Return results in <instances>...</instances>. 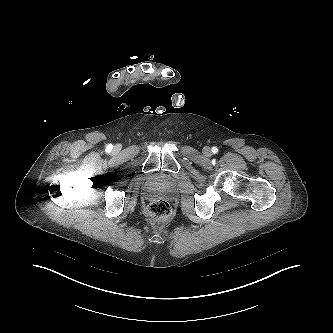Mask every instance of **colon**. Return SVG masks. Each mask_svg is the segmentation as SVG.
<instances>
[{
    "instance_id": "obj_1",
    "label": "colon",
    "mask_w": 333,
    "mask_h": 333,
    "mask_svg": "<svg viewBox=\"0 0 333 333\" xmlns=\"http://www.w3.org/2000/svg\"><path fill=\"white\" fill-rule=\"evenodd\" d=\"M148 212L154 220L165 221L170 217L172 210L167 201L158 199L149 204Z\"/></svg>"
}]
</instances>
